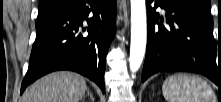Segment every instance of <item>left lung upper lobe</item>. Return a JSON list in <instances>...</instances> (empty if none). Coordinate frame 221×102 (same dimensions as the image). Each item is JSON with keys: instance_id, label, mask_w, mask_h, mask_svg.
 <instances>
[{"instance_id": "1", "label": "left lung upper lobe", "mask_w": 221, "mask_h": 102, "mask_svg": "<svg viewBox=\"0 0 221 102\" xmlns=\"http://www.w3.org/2000/svg\"><path fill=\"white\" fill-rule=\"evenodd\" d=\"M191 1L203 7L206 11H210V0H191Z\"/></svg>"}]
</instances>
